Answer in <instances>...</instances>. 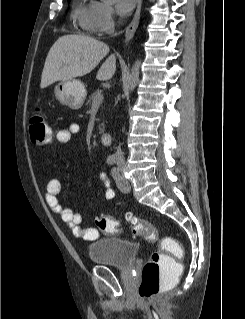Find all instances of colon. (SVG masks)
Here are the masks:
<instances>
[{
	"label": "colon",
	"mask_w": 245,
	"mask_h": 319,
	"mask_svg": "<svg viewBox=\"0 0 245 319\" xmlns=\"http://www.w3.org/2000/svg\"><path fill=\"white\" fill-rule=\"evenodd\" d=\"M29 133L35 146H45L52 141V131L41 114H35L30 118ZM125 219L130 223L134 235L142 236L151 242L157 240L158 229L150 221L132 213H126ZM97 226L100 231L108 234L119 231L117 220L109 215L100 216ZM160 247L161 250L150 256L142 270L138 293L144 302L153 300L182 272V267L175 264L172 258H181L184 254L179 242L175 238L165 237L161 240Z\"/></svg>",
	"instance_id": "obj_1"
}]
</instances>
